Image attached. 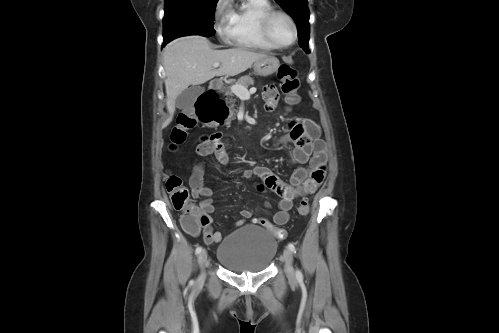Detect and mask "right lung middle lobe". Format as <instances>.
Listing matches in <instances>:
<instances>
[{"instance_id": "1", "label": "right lung middle lobe", "mask_w": 499, "mask_h": 333, "mask_svg": "<svg viewBox=\"0 0 499 333\" xmlns=\"http://www.w3.org/2000/svg\"><path fill=\"white\" fill-rule=\"evenodd\" d=\"M217 2L218 0H165L164 41L192 34L213 36Z\"/></svg>"}]
</instances>
